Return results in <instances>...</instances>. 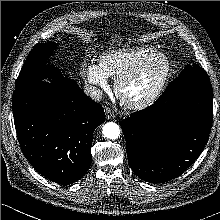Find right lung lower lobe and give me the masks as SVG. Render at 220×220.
I'll return each mask as SVG.
<instances>
[{"label":"right lung lower lobe","mask_w":220,"mask_h":220,"mask_svg":"<svg viewBox=\"0 0 220 220\" xmlns=\"http://www.w3.org/2000/svg\"><path fill=\"white\" fill-rule=\"evenodd\" d=\"M13 117L20 147L40 174L58 184L78 181L91 163L93 132L102 106L69 78L17 88Z\"/></svg>","instance_id":"1"}]
</instances>
